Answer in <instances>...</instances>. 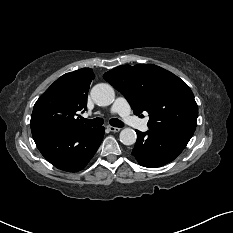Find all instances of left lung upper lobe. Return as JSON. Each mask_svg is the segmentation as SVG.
<instances>
[{
  "mask_svg": "<svg viewBox=\"0 0 233 233\" xmlns=\"http://www.w3.org/2000/svg\"><path fill=\"white\" fill-rule=\"evenodd\" d=\"M103 77L126 97L136 115L149 113V130L192 137L198 106L179 77L153 64L122 65Z\"/></svg>",
  "mask_w": 233,
  "mask_h": 233,
  "instance_id": "obj_1",
  "label": "left lung upper lobe"
}]
</instances>
